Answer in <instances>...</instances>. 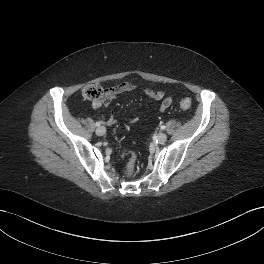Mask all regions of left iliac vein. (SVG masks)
<instances>
[{"label": "left iliac vein", "instance_id": "1", "mask_svg": "<svg viewBox=\"0 0 264 264\" xmlns=\"http://www.w3.org/2000/svg\"><path fill=\"white\" fill-rule=\"evenodd\" d=\"M156 140L159 143H164L167 140V135L165 133H163V132H160V133L157 134Z\"/></svg>", "mask_w": 264, "mask_h": 264}]
</instances>
